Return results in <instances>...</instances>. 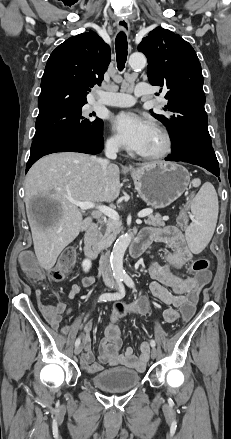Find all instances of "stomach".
Segmentation results:
<instances>
[{"instance_id": "stomach-1", "label": "stomach", "mask_w": 231, "mask_h": 439, "mask_svg": "<svg viewBox=\"0 0 231 439\" xmlns=\"http://www.w3.org/2000/svg\"><path fill=\"white\" fill-rule=\"evenodd\" d=\"M135 189L147 205L164 208L188 188V171L175 163L155 162L131 171Z\"/></svg>"}]
</instances>
